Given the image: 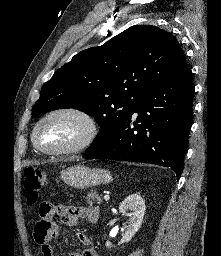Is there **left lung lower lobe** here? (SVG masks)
<instances>
[{
    "mask_svg": "<svg viewBox=\"0 0 221 256\" xmlns=\"http://www.w3.org/2000/svg\"><path fill=\"white\" fill-rule=\"evenodd\" d=\"M194 93L191 70L185 64L152 88L130 117L95 140L83 157L166 166L179 179L192 124ZM135 113L138 117L131 128Z\"/></svg>",
    "mask_w": 221,
    "mask_h": 256,
    "instance_id": "1",
    "label": "left lung lower lobe"
}]
</instances>
